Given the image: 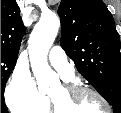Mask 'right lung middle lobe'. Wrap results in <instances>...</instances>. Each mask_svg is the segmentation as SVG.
<instances>
[{
  "label": "right lung middle lobe",
  "mask_w": 121,
  "mask_h": 113,
  "mask_svg": "<svg viewBox=\"0 0 121 113\" xmlns=\"http://www.w3.org/2000/svg\"><path fill=\"white\" fill-rule=\"evenodd\" d=\"M17 56L1 53V107L6 108L4 100V89L11 71L15 67Z\"/></svg>",
  "instance_id": "obj_1"
}]
</instances>
